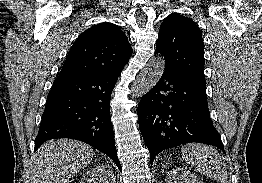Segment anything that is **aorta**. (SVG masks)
Wrapping results in <instances>:
<instances>
[{"instance_id": "obj_1", "label": "aorta", "mask_w": 262, "mask_h": 183, "mask_svg": "<svg viewBox=\"0 0 262 183\" xmlns=\"http://www.w3.org/2000/svg\"><path fill=\"white\" fill-rule=\"evenodd\" d=\"M164 69L165 60L162 56L152 58L131 87L133 97H140L149 92L161 78Z\"/></svg>"}]
</instances>
